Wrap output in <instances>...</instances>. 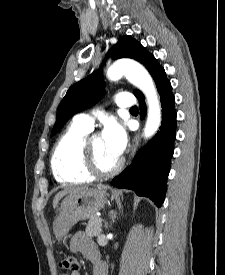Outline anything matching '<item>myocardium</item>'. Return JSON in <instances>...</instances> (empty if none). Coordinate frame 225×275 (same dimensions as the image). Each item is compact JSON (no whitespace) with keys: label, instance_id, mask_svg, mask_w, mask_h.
Wrapping results in <instances>:
<instances>
[{"label":"myocardium","instance_id":"myocardium-1","mask_svg":"<svg viewBox=\"0 0 225 275\" xmlns=\"http://www.w3.org/2000/svg\"><path fill=\"white\" fill-rule=\"evenodd\" d=\"M91 139L92 137L86 136L81 145V166L83 170L92 178H109L117 174L123 166V161L119 160L110 170H101L96 164L95 156L90 147Z\"/></svg>","mask_w":225,"mask_h":275}]
</instances>
